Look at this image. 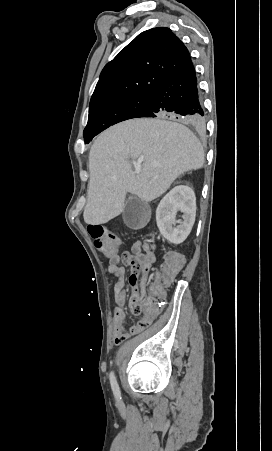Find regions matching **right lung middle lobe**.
<instances>
[{
	"label": "right lung middle lobe",
	"mask_w": 272,
	"mask_h": 451,
	"mask_svg": "<svg viewBox=\"0 0 272 451\" xmlns=\"http://www.w3.org/2000/svg\"><path fill=\"white\" fill-rule=\"evenodd\" d=\"M150 96H127L107 100L89 108L84 129L85 143L106 128L124 120L136 118L148 105Z\"/></svg>",
	"instance_id": "obj_1"
}]
</instances>
